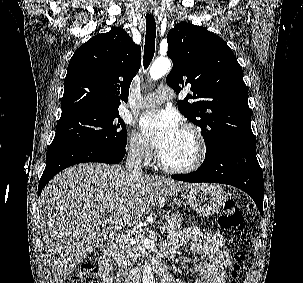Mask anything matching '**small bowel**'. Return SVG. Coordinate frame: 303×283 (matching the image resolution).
<instances>
[{
	"mask_svg": "<svg viewBox=\"0 0 303 283\" xmlns=\"http://www.w3.org/2000/svg\"><path fill=\"white\" fill-rule=\"evenodd\" d=\"M191 244L194 253L206 256L204 262H195L194 267L200 278V283H226V269L231 266V257L226 247L223 236L214 233L201 232L196 227H187L179 234L173 235L166 240L164 256L169 260L175 256L178 247ZM188 261L185 255L179 259V264ZM112 263L109 258L102 256L99 259L98 274L100 283H113L110 275ZM162 283H197L192 280H177L172 273H169L162 280Z\"/></svg>",
	"mask_w": 303,
	"mask_h": 283,
	"instance_id": "obj_1",
	"label": "small bowel"
}]
</instances>
